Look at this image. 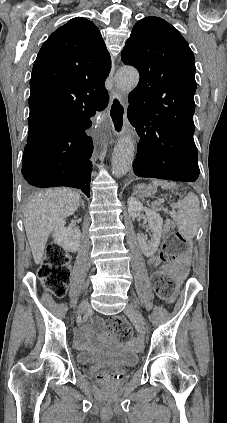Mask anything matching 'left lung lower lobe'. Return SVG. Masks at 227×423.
Returning a JSON list of instances; mask_svg holds the SVG:
<instances>
[{
    "mask_svg": "<svg viewBox=\"0 0 227 423\" xmlns=\"http://www.w3.org/2000/svg\"><path fill=\"white\" fill-rule=\"evenodd\" d=\"M127 116L140 137L133 163L137 176L185 182L198 178L193 113L147 111L129 105Z\"/></svg>",
    "mask_w": 227,
    "mask_h": 423,
    "instance_id": "1",
    "label": "left lung lower lobe"
}]
</instances>
